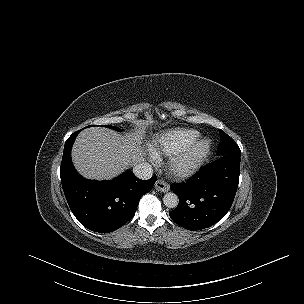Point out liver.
Returning a JSON list of instances; mask_svg holds the SVG:
<instances>
[{
    "instance_id": "6515ba94",
    "label": "liver",
    "mask_w": 304,
    "mask_h": 304,
    "mask_svg": "<svg viewBox=\"0 0 304 304\" xmlns=\"http://www.w3.org/2000/svg\"><path fill=\"white\" fill-rule=\"evenodd\" d=\"M145 156L138 135L124 137L106 128L83 130L77 137L72 159L77 171L89 179H111Z\"/></svg>"
}]
</instances>
